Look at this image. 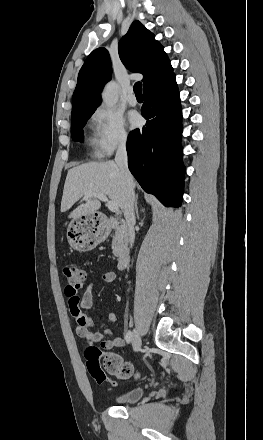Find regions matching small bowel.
<instances>
[{"instance_id":"1","label":"small bowel","mask_w":263,"mask_h":440,"mask_svg":"<svg viewBox=\"0 0 263 440\" xmlns=\"http://www.w3.org/2000/svg\"><path fill=\"white\" fill-rule=\"evenodd\" d=\"M117 274L114 271H106L102 275V279L106 284H113L116 281ZM84 288L82 296H78L79 291ZM93 288L92 281L82 284L78 288L67 286L66 295L69 299V308L72 317L75 319L76 334L86 340L89 344H99L103 349H112L122 347L124 340L120 336L111 339L107 338L110 330L102 331L96 328L93 319L85 313L93 305ZM119 319L116 312H111L108 316L110 324H115Z\"/></svg>"}]
</instances>
